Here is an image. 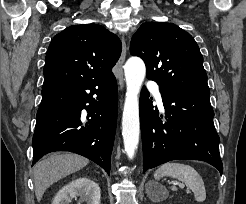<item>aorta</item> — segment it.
Returning a JSON list of instances; mask_svg holds the SVG:
<instances>
[{"label": "aorta", "mask_w": 246, "mask_h": 204, "mask_svg": "<svg viewBox=\"0 0 246 204\" xmlns=\"http://www.w3.org/2000/svg\"><path fill=\"white\" fill-rule=\"evenodd\" d=\"M126 98L122 116V136L127 156L132 159L139 143L138 95L146 75V67L139 57H130L125 66Z\"/></svg>", "instance_id": "obj_1"}]
</instances>
